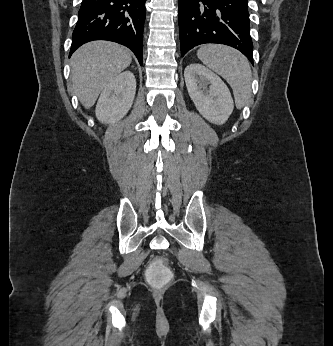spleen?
Returning <instances> with one entry per match:
<instances>
[{"mask_svg":"<svg viewBox=\"0 0 333 346\" xmlns=\"http://www.w3.org/2000/svg\"><path fill=\"white\" fill-rule=\"evenodd\" d=\"M197 56L229 83L236 106L242 108L251 96L252 72L246 57L224 45H204L197 51Z\"/></svg>","mask_w":333,"mask_h":346,"instance_id":"1","label":"spleen"}]
</instances>
